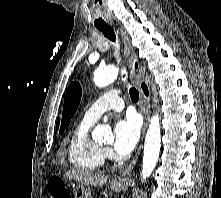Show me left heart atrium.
Instances as JSON below:
<instances>
[{"instance_id":"obj_1","label":"left heart atrium","mask_w":221,"mask_h":198,"mask_svg":"<svg viewBox=\"0 0 221 198\" xmlns=\"http://www.w3.org/2000/svg\"><path fill=\"white\" fill-rule=\"evenodd\" d=\"M140 136V123L138 119L129 115L117 121L114 126V150L119 155L129 154L137 145Z\"/></svg>"}]
</instances>
